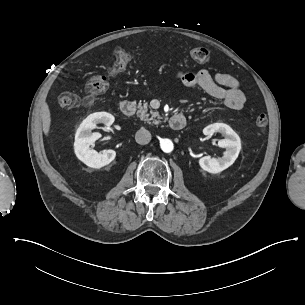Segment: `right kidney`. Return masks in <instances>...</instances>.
Segmentation results:
<instances>
[{
	"label": "right kidney",
	"mask_w": 305,
	"mask_h": 305,
	"mask_svg": "<svg viewBox=\"0 0 305 305\" xmlns=\"http://www.w3.org/2000/svg\"><path fill=\"white\" fill-rule=\"evenodd\" d=\"M113 122V115L106 112H99L89 115L78 128L74 142V150L78 159L87 166L101 168L115 159L116 152L114 150H103L98 153L89 148V145L98 139L97 136L94 137L91 133V130L96 128V124L104 123L110 126Z\"/></svg>",
	"instance_id": "obj_1"
}]
</instances>
